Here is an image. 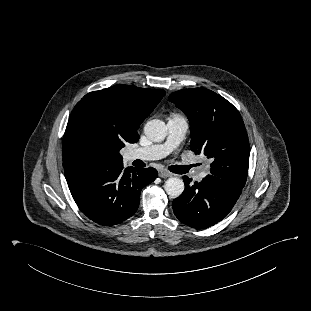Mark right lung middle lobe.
<instances>
[{"instance_id":"1","label":"right lung middle lobe","mask_w":311,"mask_h":311,"mask_svg":"<svg viewBox=\"0 0 311 311\" xmlns=\"http://www.w3.org/2000/svg\"><path fill=\"white\" fill-rule=\"evenodd\" d=\"M116 135L106 128L93 109H85L68 121L63 138L64 169L116 163L122 149Z\"/></svg>"}]
</instances>
